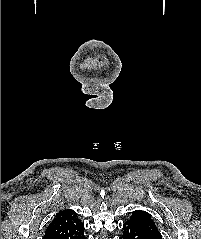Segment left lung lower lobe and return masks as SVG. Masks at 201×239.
<instances>
[{
	"label": "left lung lower lobe",
	"mask_w": 201,
	"mask_h": 239,
	"mask_svg": "<svg viewBox=\"0 0 201 239\" xmlns=\"http://www.w3.org/2000/svg\"><path fill=\"white\" fill-rule=\"evenodd\" d=\"M124 234L121 239H156L142 224L127 221L123 224Z\"/></svg>",
	"instance_id": "obj_1"
}]
</instances>
